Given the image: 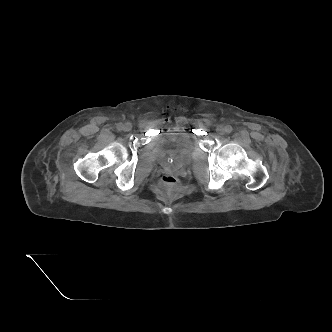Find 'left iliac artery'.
<instances>
[{"label": "left iliac artery", "instance_id": "44dca946", "mask_svg": "<svg viewBox=\"0 0 332 332\" xmlns=\"http://www.w3.org/2000/svg\"><path fill=\"white\" fill-rule=\"evenodd\" d=\"M225 129H226V132H227V133H231L232 130H233L232 126H230V125H227V126L225 127Z\"/></svg>", "mask_w": 332, "mask_h": 332}]
</instances>
